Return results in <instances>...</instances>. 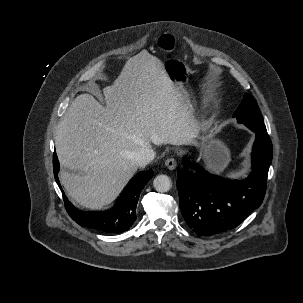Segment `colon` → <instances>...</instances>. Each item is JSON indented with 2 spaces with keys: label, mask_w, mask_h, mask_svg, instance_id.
<instances>
[{
  "label": "colon",
  "mask_w": 303,
  "mask_h": 303,
  "mask_svg": "<svg viewBox=\"0 0 303 303\" xmlns=\"http://www.w3.org/2000/svg\"><path fill=\"white\" fill-rule=\"evenodd\" d=\"M159 46L165 51H172L175 48V40L171 35H163L159 40Z\"/></svg>",
  "instance_id": "5ec220e1"
}]
</instances>
